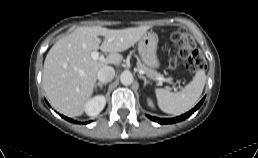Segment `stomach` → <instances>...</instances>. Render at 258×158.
<instances>
[{"label":"stomach","instance_id":"1","mask_svg":"<svg viewBox=\"0 0 258 158\" xmlns=\"http://www.w3.org/2000/svg\"><path fill=\"white\" fill-rule=\"evenodd\" d=\"M158 38L154 33H145L138 42V53L141 60L149 68H159L160 62L157 57Z\"/></svg>","mask_w":258,"mask_h":158}]
</instances>
